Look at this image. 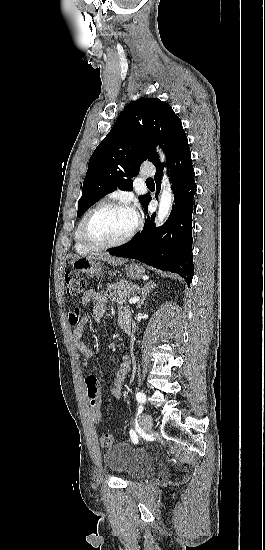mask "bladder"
Here are the masks:
<instances>
[{
  "label": "bladder",
  "instance_id": "31cf9c89",
  "mask_svg": "<svg viewBox=\"0 0 265 550\" xmlns=\"http://www.w3.org/2000/svg\"><path fill=\"white\" fill-rule=\"evenodd\" d=\"M103 457L109 470L131 479L145 476L151 467V458L146 452L125 443L111 446Z\"/></svg>",
  "mask_w": 265,
  "mask_h": 550
}]
</instances>
